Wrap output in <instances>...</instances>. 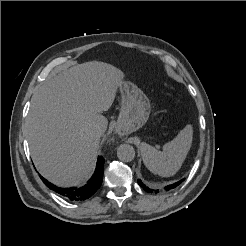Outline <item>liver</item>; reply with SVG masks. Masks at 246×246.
Segmentation results:
<instances>
[{
  "mask_svg": "<svg viewBox=\"0 0 246 246\" xmlns=\"http://www.w3.org/2000/svg\"><path fill=\"white\" fill-rule=\"evenodd\" d=\"M124 74L103 62H86L47 80L33 94L25 123L32 160L50 182L68 187L92 171L108 121L101 114L114 102Z\"/></svg>",
  "mask_w": 246,
  "mask_h": 246,
  "instance_id": "1",
  "label": "liver"
}]
</instances>
